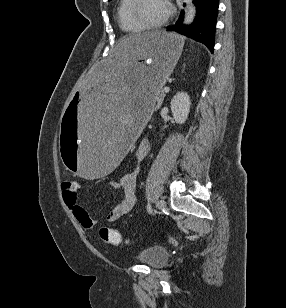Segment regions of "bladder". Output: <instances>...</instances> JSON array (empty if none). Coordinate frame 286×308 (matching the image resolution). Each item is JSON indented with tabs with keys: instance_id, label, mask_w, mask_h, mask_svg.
Segmentation results:
<instances>
[{
	"instance_id": "31cf9c89",
	"label": "bladder",
	"mask_w": 286,
	"mask_h": 308,
	"mask_svg": "<svg viewBox=\"0 0 286 308\" xmlns=\"http://www.w3.org/2000/svg\"><path fill=\"white\" fill-rule=\"evenodd\" d=\"M136 258L147 266L159 268L168 261L169 250L162 246L149 247L140 251Z\"/></svg>"
}]
</instances>
